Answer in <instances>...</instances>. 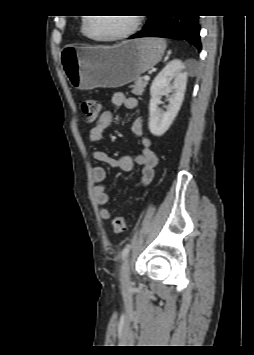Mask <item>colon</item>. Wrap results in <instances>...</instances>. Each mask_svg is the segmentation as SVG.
<instances>
[{
  "instance_id": "1",
  "label": "colon",
  "mask_w": 254,
  "mask_h": 355,
  "mask_svg": "<svg viewBox=\"0 0 254 355\" xmlns=\"http://www.w3.org/2000/svg\"><path fill=\"white\" fill-rule=\"evenodd\" d=\"M80 105L87 121L93 122L97 120L100 114V104L98 101L85 98L81 101ZM112 225L115 233H122L127 228V221L123 216H115Z\"/></svg>"
}]
</instances>
